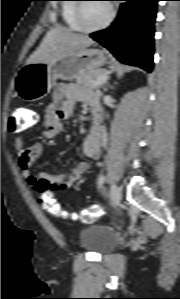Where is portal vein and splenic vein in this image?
Instances as JSON below:
<instances>
[{
	"label": "portal vein and splenic vein",
	"instance_id": "1",
	"mask_svg": "<svg viewBox=\"0 0 180 299\" xmlns=\"http://www.w3.org/2000/svg\"><path fill=\"white\" fill-rule=\"evenodd\" d=\"M108 74L109 73H106L105 75H102V76H100L99 78H97V80L94 82V84H93V87H98V86H100V85H102V84H104L106 81H107V79H108Z\"/></svg>",
	"mask_w": 180,
	"mask_h": 299
}]
</instances>
